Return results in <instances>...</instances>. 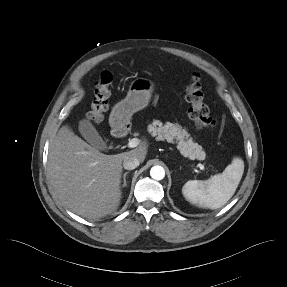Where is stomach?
<instances>
[{
  "mask_svg": "<svg viewBox=\"0 0 287 287\" xmlns=\"http://www.w3.org/2000/svg\"><path fill=\"white\" fill-rule=\"evenodd\" d=\"M154 84L146 78H137L129 86L125 99L117 103L109 117L112 134L118 136L130 124L131 117L137 111L148 106Z\"/></svg>",
  "mask_w": 287,
  "mask_h": 287,
  "instance_id": "stomach-1",
  "label": "stomach"
}]
</instances>
